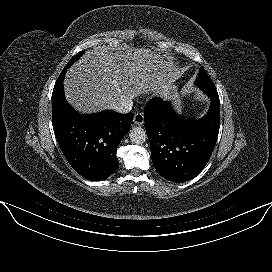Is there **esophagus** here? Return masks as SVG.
<instances>
[{
	"instance_id": "34e87169",
	"label": "esophagus",
	"mask_w": 272,
	"mask_h": 272,
	"mask_svg": "<svg viewBox=\"0 0 272 272\" xmlns=\"http://www.w3.org/2000/svg\"><path fill=\"white\" fill-rule=\"evenodd\" d=\"M133 123L136 124V125H139V126L143 125V123H144L143 113H140V112L136 113L134 115Z\"/></svg>"
}]
</instances>
